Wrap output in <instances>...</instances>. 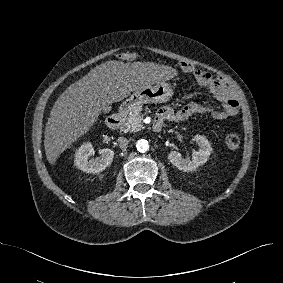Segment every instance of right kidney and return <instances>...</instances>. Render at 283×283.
<instances>
[{
  "instance_id": "ca27d5eb",
  "label": "right kidney",
  "mask_w": 283,
  "mask_h": 283,
  "mask_svg": "<svg viewBox=\"0 0 283 283\" xmlns=\"http://www.w3.org/2000/svg\"><path fill=\"white\" fill-rule=\"evenodd\" d=\"M92 153L91 143L83 144L75 153L74 163L83 172L100 173L111 164L114 158V152L108 148L99 150L100 156L97 158H90Z\"/></svg>"
}]
</instances>
